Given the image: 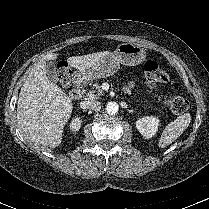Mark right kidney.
Listing matches in <instances>:
<instances>
[{
  "label": "right kidney",
  "instance_id": "ca27d5eb",
  "mask_svg": "<svg viewBox=\"0 0 209 209\" xmlns=\"http://www.w3.org/2000/svg\"><path fill=\"white\" fill-rule=\"evenodd\" d=\"M80 127H81V120L78 117L73 119L69 124V128L72 132L78 131Z\"/></svg>",
  "mask_w": 209,
  "mask_h": 209
}]
</instances>
